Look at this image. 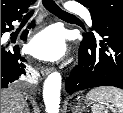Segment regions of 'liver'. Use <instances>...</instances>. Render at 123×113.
Here are the masks:
<instances>
[{"mask_svg": "<svg viewBox=\"0 0 123 113\" xmlns=\"http://www.w3.org/2000/svg\"><path fill=\"white\" fill-rule=\"evenodd\" d=\"M26 104L24 95L19 90H1V113H23Z\"/></svg>", "mask_w": 123, "mask_h": 113, "instance_id": "liver-1", "label": "liver"}]
</instances>
